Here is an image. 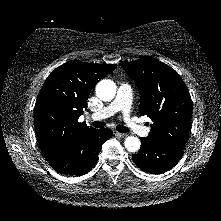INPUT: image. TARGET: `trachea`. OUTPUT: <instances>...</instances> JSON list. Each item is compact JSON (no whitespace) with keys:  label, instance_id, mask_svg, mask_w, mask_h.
<instances>
[{"label":"trachea","instance_id":"obj_1","mask_svg":"<svg viewBox=\"0 0 221 221\" xmlns=\"http://www.w3.org/2000/svg\"><path fill=\"white\" fill-rule=\"evenodd\" d=\"M92 126L95 127V128H102V127L105 126V123L101 122V121H95V122L92 123ZM116 129H117L118 132H121V133L129 132V129L125 126H122V125H117Z\"/></svg>","mask_w":221,"mask_h":221}]
</instances>
